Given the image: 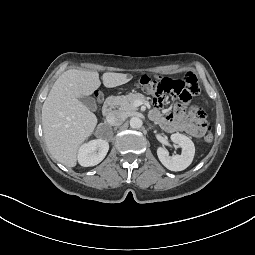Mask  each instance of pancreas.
I'll list each match as a JSON object with an SVG mask.
<instances>
[{"label":"pancreas","mask_w":255,"mask_h":255,"mask_svg":"<svg viewBox=\"0 0 255 255\" xmlns=\"http://www.w3.org/2000/svg\"><path fill=\"white\" fill-rule=\"evenodd\" d=\"M141 100L146 102V97L140 93H130L126 96H116L113 97L114 105L123 112H132L136 110V106L134 105L135 101Z\"/></svg>","instance_id":"cf45deb5"}]
</instances>
